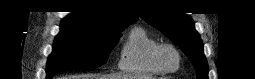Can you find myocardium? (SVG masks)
<instances>
[{"label": "myocardium", "mask_w": 255, "mask_h": 79, "mask_svg": "<svg viewBox=\"0 0 255 79\" xmlns=\"http://www.w3.org/2000/svg\"><path fill=\"white\" fill-rule=\"evenodd\" d=\"M166 49L172 50L178 58V64L174 68L168 67L162 60V52ZM152 61L161 71L165 73H172L180 68L182 63V57L180 51L173 44L159 43L153 50Z\"/></svg>", "instance_id": "1"}]
</instances>
